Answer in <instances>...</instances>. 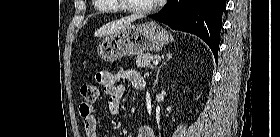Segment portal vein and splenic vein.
<instances>
[{"mask_svg":"<svg viewBox=\"0 0 280 137\" xmlns=\"http://www.w3.org/2000/svg\"><path fill=\"white\" fill-rule=\"evenodd\" d=\"M158 63H159V60H155V61L153 62L154 65H157Z\"/></svg>","mask_w":280,"mask_h":137,"instance_id":"1","label":"portal vein and splenic vein"}]
</instances>
